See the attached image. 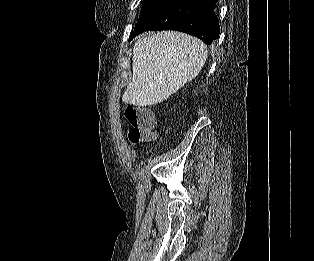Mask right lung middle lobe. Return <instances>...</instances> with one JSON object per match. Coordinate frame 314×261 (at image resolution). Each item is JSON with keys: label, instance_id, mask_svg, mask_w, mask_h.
<instances>
[{"label": "right lung middle lobe", "instance_id": "1", "mask_svg": "<svg viewBox=\"0 0 314 261\" xmlns=\"http://www.w3.org/2000/svg\"><path fill=\"white\" fill-rule=\"evenodd\" d=\"M172 0H144L136 25H141L167 6Z\"/></svg>", "mask_w": 314, "mask_h": 261}]
</instances>
